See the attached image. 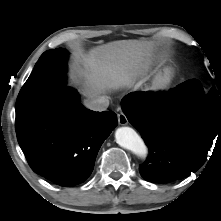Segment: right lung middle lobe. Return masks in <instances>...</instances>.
Listing matches in <instances>:
<instances>
[{"label": "right lung middle lobe", "instance_id": "dd1d6c3e", "mask_svg": "<svg viewBox=\"0 0 221 221\" xmlns=\"http://www.w3.org/2000/svg\"><path fill=\"white\" fill-rule=\"evenodd\" d=\"M67 54L64 49L58 48L44 52L39 58L31 76L45 77L48 81L20 91L16 102V127L32 120L48 102L51 90L65 84Z\"/></svg>", "mask_w": 221, "mask_h": 221}]
</instances>
